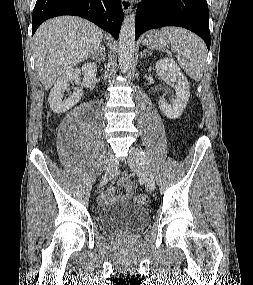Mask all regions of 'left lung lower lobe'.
I'll list each match as a JSON object with an SVG mask.
<instances>
[{
  "label": "left lung lower lobe",
  "mask_w": 253,
  "mask_h": 285,
  "mask_svg": "<svg viewBox=\"0 0 253 285\" xmlns=\"http://www.w3.org/2000/svg\"><path fill=\"white\" fill-rule=\"evenodd\" d=\"M206 0H143L137 5L135 40L147 30L179 26L199 35L210 48Z\"/></svg>",
  "instance_id": "0a47b994"
}]
</instances>
